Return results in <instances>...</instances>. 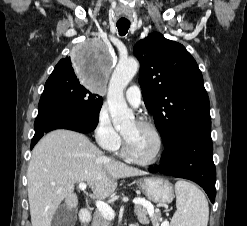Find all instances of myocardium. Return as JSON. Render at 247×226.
Here are the masks:
<instances>
[{
	"mask_svg": "<svg viewBox=\"0 0 247 226\" xmlns=\"http://www.w3.org/2000/svg\"><path fill=\"white\" fill-rule=\"evenodd\" d=\"M137 125L148 128L150 131H152V133L155 135L156 140H157V150L154 154L153 157L149 158V159H140L135 157L132 152L130 151V148L128 146V142L126 140V138L124 137V135H122V151L123 154L125 155V157L138 165H142V166H149V165H153L155 163H157L163 153L164 150V140L162 137L161 132L159 131V129L156 127L155 124H153L152 122L148 121V120H138L136 122Z\"/></svg>",
	"mask_w": 247,
	"mask_h": 226,
	"instance_id": "myocardium-1",
	"label": "myocardium"
}]
</instances>
